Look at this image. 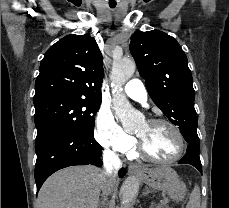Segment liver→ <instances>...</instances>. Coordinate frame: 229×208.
Segmentation results:
<instances>
[{
    "mask_svg": "<svg viewBox=\"0 0 229 208\" xmlns=\"http://www.w3.org/2000/svg\"><path fill=\"white\" fill-rule=\"evenodd\" d=\"M102 182V170L95 166L60 170L44 182L35 208H98ZM106 182L113 188L115 180Z\"/></svg>",
    "mask_w": 229,
    "mask_h": 208,
    "instance_id": "obj_1",
    "label": "liver"
}]
</instances>
